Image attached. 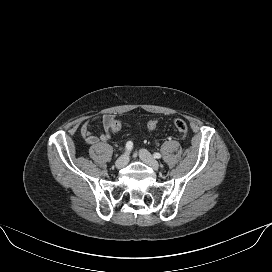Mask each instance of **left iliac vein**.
<instances>
[{
	"mask_svg": "<svg viewBox=\"0 0 272 272\" xmlns=\"http://www.w3.org/2000/svg\"><path fill=\"white\" fill-rule=\"evenodd\" d=\"M139 157L145 164H147L153 170L157 171L159 169V163L147 150L141 149L139 151Z\"/></svg>",
	"mask_w": 272,
	"mask_h": 272,
	"instance_id": "1",
	"label": "left iliac vein"
}]
</instances>
